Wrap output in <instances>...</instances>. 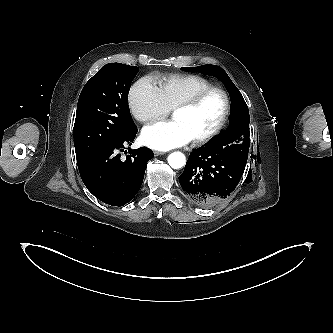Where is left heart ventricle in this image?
I'll list each match as a JSON object with an SVG mask.
<instances>
[{
  "instance_id": "b2bd125f",
  "label": "left heart ventricle",
  "mask_w": 333,
  "mask_h": 333,
  "mask_svg": "<svg viewBox=\"0 0 333 333\" xmlns=\"http://www.w3.org/2000/svg\"><path fill=\"white\" fill-rule=\"evenodd\" d=\"M223 111V97L219 93H212L197 107L177 111L172 118L181 123L194 140L210 132L219 122Z\"/></svg>"
}]
</instances>
